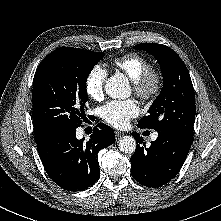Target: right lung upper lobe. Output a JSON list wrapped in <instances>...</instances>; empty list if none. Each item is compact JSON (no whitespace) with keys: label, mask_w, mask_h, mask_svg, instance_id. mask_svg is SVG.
<instances>
[{"label":"right lung upper lobe","mask_w":221,"mask_h":221,"mask_svg":"<svg viewBox=\"0 0 221 221\" xmlns=\"http://www.w3.org/2000/svg\"><path fill=\"white\" fill-rule=\"evenodd\" d=\"M45 136H46V134L35 132V140H36V142H38L39 140H41Z\"/></svg>","instance_id":"right-lung-upper-lobe-1"}]
</instances>
